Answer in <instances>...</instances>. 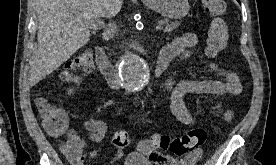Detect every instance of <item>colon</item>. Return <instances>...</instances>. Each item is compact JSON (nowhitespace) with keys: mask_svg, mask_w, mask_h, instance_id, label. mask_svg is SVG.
<instances>
[{"mask_svg":"<svg viewBox=\"0 0 276 165\" xmlns=\"http://www.w3.org/2000/svg\"><path fill=\"white\" fill-rule=\"evenodd\" d=\"M204 11L213 17L207 35L206 53L213 57L224 50L228 40V26L223 18L226 12L224 0H202ZM93 67V53L89 49L82 50L66 65L62 72V84L71 90L73 85L81 81L83 74L89 73ZM35 105L45 129L52 135L62 134L67 127V116L63 110L53 105L46 97L38 95ZM207 131L196 127L180 137H169L162 134H152L140 149L149 160L157 157L158 150L169 151L176 156H184L198 150L207 139ZM131 137L126 130H118L112 136V144L118 150L128 147ZM64 150L75 154L77 144L67 140Z\"/></svg>","mask_w":276,"mask_h":165,"instance_id":"obj_1","label":"colon"}]
</instances>
